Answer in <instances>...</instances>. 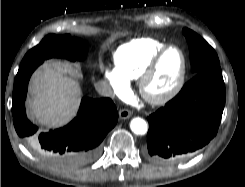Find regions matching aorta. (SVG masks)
Segmentation results:
<instances>
[{
	"instance_id": "aorta-1",
	"label": "aorta",
	"mask_w": 245,
	"mask_h": 187,
	"mask_svg": "<svg viewBox=\"0 0 245 187\" xmlns=\"http://www.w3.org/2000/svg\"><path fill=\"white\" fill-rule=\"evenodd\" d=\"M130 128L132 132L138 135H144L148 130V126L145 120L139 117L131 120Z\"/></svg>"
}]
</instances>
